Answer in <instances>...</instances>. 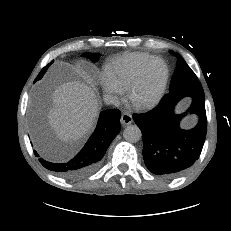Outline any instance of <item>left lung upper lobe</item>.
<instances>
[{
    "label": "left lung upper lobe",
    "instance_id": "1",
    "mask_svg": "<svg viewBox=\"0 0 231 231\" xmlns=\"http://www.w3.org/2000/svg\"><path fill=\"white\" fill-rule=\"evenodd\" d=\"M170 53L176 56L177 63L174 75L171 79L169 93H173L190 87L201 86V83L199 82L197 76L187 65L185 60L178 53H175L173 51H170Z\"/></svg>",
    "mask_w": 231,
    "mask_h": 231
}]
</instances>
